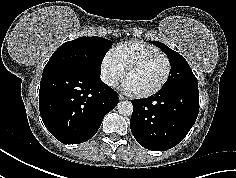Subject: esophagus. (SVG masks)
Here are the masks:
<instances>
[{"mask_svg":"<svg viewBox=\"0 0 236 178\" xmlns=\"http://www.w3.org/2000/svg\"><path fill=\"white\" fill-rule=\"evenodd\" d=\"M118 98H119V100H124L125 99V97L122 94H119Z\"/></svg>","mask_w":236,"mask_h":178,"instance_id":"esophagus-1","label":"esophagus"}]
</instances>
